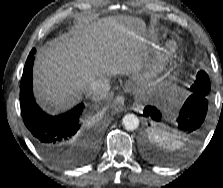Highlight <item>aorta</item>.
Here are the masks:
<instances>
[{"mask_svg": "<svg viewBox=\"0 0 223 188\" xmlns=\"http://www.w3.org/2000/svg\"><path fill=\"white\" fill-rule=\"evenodd\" d=\"M123 125L127 130H135L139 126V119L135 114H126L123 117Z\"/></svg>", "mask_w": 223, "mask_h": 188, "instance_id": "1", "label": "aorta"}]
</instances>
